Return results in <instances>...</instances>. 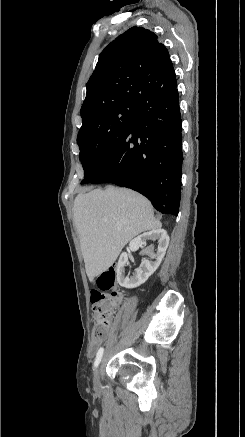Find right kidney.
<instances>
[{"instance_id":"obj_1","label":"right kidney","mask_w":245,"mask_h":437,"mask_svg":"<svg viewBox=\"0 0 245 437\" xmlns=\"http://www.w3.org/2000/svg\"><path fill=\"white\" fill-rule=\"evenodd\" d=\"M147 240H158L157 252H153V246L145 249V253L151 260L143 259L140 267L135 269L132 276H125V267L129 264L126 252L120 255L117 265V281L120 286L132 289L145 283L148 278L157 270L165 256L169 244V236L164 229L151 230L134 238L129 244V253L137 251L139 247L145 246Z\"/></svg>"}]
</instances>
